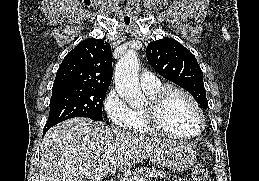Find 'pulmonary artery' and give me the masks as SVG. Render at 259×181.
I'll use <instances>...</instances> for the list:
<instances>
[{
    "label": "pulmonary artery",
    "mask_w": 259,
    "mask_h": 181,
    "mask_svg": "<svg viewBox=\"0 0 259 181\" xmlns=\"http://www.w3.org/2000/svg\"><path fill=\"white\" fill-rule=\"evenodd\" d=\"M160 82L158 78L151 72H144L140 78V85L143 89L152 88L158 85Z\"/></svg>",
    "instance_id": "1"
}]
</instances>
